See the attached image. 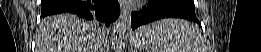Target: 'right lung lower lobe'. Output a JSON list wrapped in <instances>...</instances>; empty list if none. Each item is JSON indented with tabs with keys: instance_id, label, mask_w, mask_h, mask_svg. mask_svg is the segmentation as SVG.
Instances as JSON below:
<instances>
[{
	"instance_id": "obj_1",
	"label": "right lung lower lobe",
	"mask_w": 261,
	"mask_h": 52,
	"mask_svg": "<svg viewBox=\"0 0 261 52\" xmlns=\"http://www.w3.org/2000/svg\"><path fill=\"white\" fill-rule=\"evenodd\" d=\"M75 14L98 22L102 28L109 27L120 14L117 0H42L41 16Z\"/></svg>"
}]
</instances>
